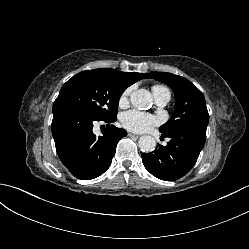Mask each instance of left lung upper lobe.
I'll use <instances>...</instances> for the list:
<instances>
[{"label":"left lung upper lobe","instance_id":"5c2ea615","mask_svg":"<svg viewBox=\"0 0 249 249\" xmlns=\"http://www.w3.org/2000/svg\"><path fill=\"white\" fill-rule=\"evenodd\" d=\"M146 78H154L170 86L175 93V110L172 117L159 130L169 134L181 128H207L209 114L202 92L184 77L165 72H151Z\"/></svg>","mask_w":249,"mask_h":249}]
</instances>
